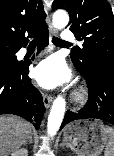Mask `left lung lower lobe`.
Returning a JSON list of instances; mask_svg holds the SVG:
<instances>
[{"mask_svg":"<svg viewBox=\"0 0 114 156\" xmlns=\"http://www.w3.org/2000/svg\"><path fill=\"white\" fill-rule=\"evenodd\" d=\"M77 70L87 82L89 100L78 113L68 111L60 129L73 120L85 118L101 119L114 125V69Z\"/></svg>","mask_w":114,"mask_h":156,"instance_id":"0a47b994","label":"left lung lower lobe"}]
</instances>
